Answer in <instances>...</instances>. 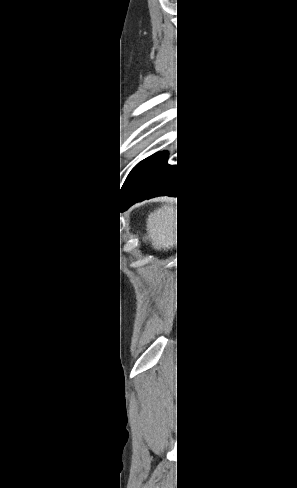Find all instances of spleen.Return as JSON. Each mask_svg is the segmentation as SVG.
Segmentation results:
<instances>
[{
    "label": "spleen",
    "instance_id": "obj_1",
    "mask_svg": "<svg viewBox=\"0 0 297 488\" xmlns=\"http://www.w3.org/2000/svg\"><path fill=\"white\" fill-rule=\"evenodd\" d=\"M170 227V207L163 206L149 214L147 233L154 248L161 249L170 244Z\"/></svg>",
    "mask_w": 297,
    "mask_h": 488
}]
</instances>
